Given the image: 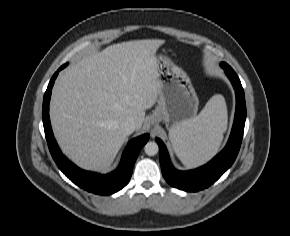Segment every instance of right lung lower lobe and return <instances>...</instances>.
<instances>
[{
	"instance_id": "right-lung-lower-lobe-1",
	"label": "right lung lower lobe",
	"mask_w": 290,
	"mask_h": 236,
	"mask_svg": "<svg viewBox=\"0 0 290 236\" xmlns=\"http://www.w3.org/2000/svg\"><path fill=\"white\" fill-rule=\"evenodd\" d=\"M63 68L64 67L61 66L52 76L43 99L42 119L50 153L59 169L79 187L99 195L113 194L128 184L132 175L134 163L141 148L148 141L149 135L144 134L131 140L123 153L120 165L110 174L100 175L76 167L60 151L55 141L49 119L51 89L59 71Z\"/></svg>"
}]
</instances>
